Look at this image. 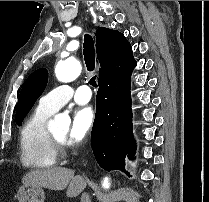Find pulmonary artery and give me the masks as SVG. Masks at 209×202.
<instances>
[{
  "mask_svg": "<svg viewBox=\"0 0 209 202\" xmlns=\"http://www.w3.org/2000/svg\"><path fill=\"white\" fill-rule=\"evenodd\" d=\"M92 98V92L85 85L63 84L52 88L48 93L43 95L38 106L49 112H56L70 100L77 104H85Z\"/></svg>",
  "mask_w": 209,
  "mask_h": 202,
  "instance_id": "1",
  "label": "pulmonary artery"
}]
</instances>
